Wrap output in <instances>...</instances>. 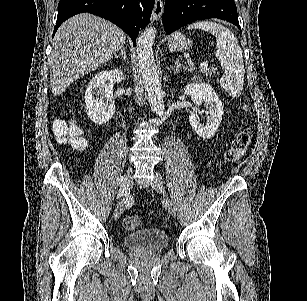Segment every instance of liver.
I'll return each mask as SVG.
<instances>
[{"mask_svg": "<svg viewBox=\"0 0 307 301\" xmlns=\"http://www.w3.org/2000/svg\"><path fill=\"white\" fill-rule=\"evenodd\" d=\"M126 34L105 18L81 12L59 26L49 58L50 88L54 96L84 74L106 64L121 48Z\"/></svg>", "mask_w": 307, "mask_h": 301, "instance_id": "6515ba94", "label": "liver"}]
</instances>
